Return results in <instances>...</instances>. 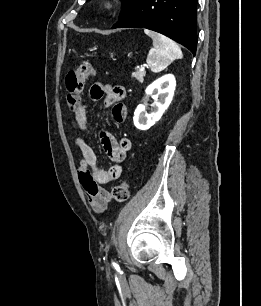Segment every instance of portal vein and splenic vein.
Segmentation results:
<instances>
[{"label": "portal vein and splenic vein", "mask_w": 261, "mask_h": 306, "mask_svg": "<svg viewBox=\"0 0 261 306\" xmlns=\"http://www.w3.org/2000/svg\"><path fill=\"white\" fill-rule=\"evenodd\" d=\"M145 70V67L144 66H141L140 68H139V71H144Z\"/></svg>", "instance_id": "18ae733b"}]
</instances>
